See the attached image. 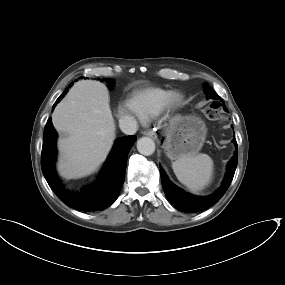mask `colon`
I'll return each mask as SVG.
<instances>
[{
  "label": "colon",
  "mask_w": 285,
  "mask_h": 285,
  "mask_svg": "<svg viewBox=\"0 0 285 285\" xmlns=\"http://www.w3.org/2000/svg\"><path fill=\"white\" fill-rule=\"evenodd\" d=\"M205 114L211 120H220V113L214 105H208L205 107Z\"/></svg>",
  "instance_id": "obj_1"
}]
</instances>
